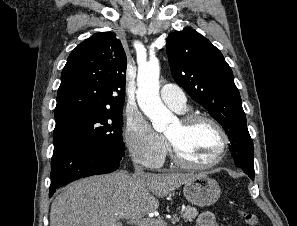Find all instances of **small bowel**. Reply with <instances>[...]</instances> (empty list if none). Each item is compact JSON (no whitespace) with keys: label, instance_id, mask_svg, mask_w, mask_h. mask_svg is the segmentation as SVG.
<instances>
[{"label":"small bowel","instance_id":"1","mask_svg":"<svg viewBox=\"0 0 297 226\" xmlns=\"http://www.w3.org/2000/svg\"><path fill=\"white\" fill-rule=\"evenodd\" d=\"M197 226H219L216 221L214 215L205 211L201 213L197 219Z\"/></svg>","mask_w":297,"mask_h":226}]
</instances>
